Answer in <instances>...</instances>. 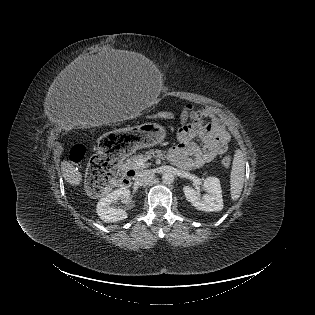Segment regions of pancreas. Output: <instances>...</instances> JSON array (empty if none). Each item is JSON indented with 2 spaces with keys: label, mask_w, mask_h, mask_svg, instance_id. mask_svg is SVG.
Segmentation results:
<instances>
[{
  "label": "pancreas",
  "mask_w": 315,
  "mask_h": 315,
  "mask_svg": "<svg viewBox=\"0 0 315 315\" xmlns=\"http://www.w3.org/2000/svg\"><path fill=\"white\" fill-rule=\"evenodd\" d=\"M148 154H153V155H158V156H165L166 152L165 151H161V150H155V151H151ZM144 159H145V155H143V154L133 155L130 159L126 160V168L130 169V170H134L136 172H139V171L143 170L144 168L148 167L147 163H144L142 165H138V162L140 160H144Z\"/></svg>",
  "instance_id": "1"
}]
</instances>
